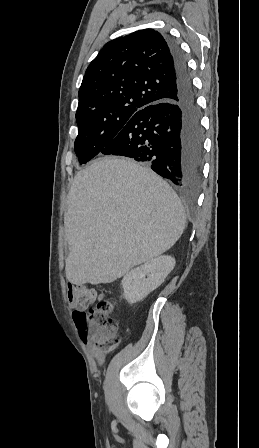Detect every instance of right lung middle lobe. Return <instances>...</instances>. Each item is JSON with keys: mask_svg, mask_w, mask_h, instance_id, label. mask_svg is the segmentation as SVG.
<instances>
[{"mask_svg": "<svg viewBox=\"0 0 259 448\" xmlns=\"http://www.w3.org/2000/svg\"><path fill=\"white\" fill-rule=\"evenodd\" d=\"M144 108H129L112 113L76 115L78 136L74 150L80 164H86L114 139L125 124Z\"/></svg>", "mask_w": 259, "mask_h": 448, "instance_id": "dd1d6c3e", "label": "right lung middle lobe"}]
</instances>
